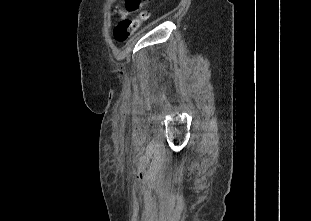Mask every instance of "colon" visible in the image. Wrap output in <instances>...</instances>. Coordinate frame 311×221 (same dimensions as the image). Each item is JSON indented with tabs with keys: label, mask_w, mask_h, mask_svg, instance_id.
Masks as SVG:
<instances>
[{
	"label": "colon",
	"mask_w": 311,
	"mask_h": 221,
	"mask_svg": "<svg viewBox=\"0 0 311 221\" xmlns=\"http://www.w3.org/2000/svg\"><path fill=\"white\" fill-rule=\"evenodd\" d=\"M145 0H126V7L129 8L131 11L128 15L135 12L137 9L142 7L143 2ZM112 7H115V4H112ZM114 17H122V13H117L116 10L113 11ZM136 19L131 20L128 22L122 21L121 23H117L113 29L114 38L119 41L123 42L127 40V38L143 23H146L150 18V13L147 10L141 9L135 15Z\"/></svg>",
	"instance_id": "colon-1"
}]
</instances>
